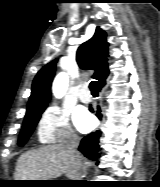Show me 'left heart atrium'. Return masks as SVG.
Listing matches in <instances>:
<instances>
[{
  "label": "left heart atrium",
  "mask_w": 160,
  "mask_h": 187,
  "mask_svg": "<svg viewBox=\"0 0 160 187\" xmlns=\"http://www.w3.org/2000/svg\"><path fill=\"white\" fill-rule=\"evenodd\" d=\"M74 122L81 132H89L94 127L93 117L85 110H80L74 115Z\"/></svg>",
  "instance_id": "39dd6f15"
}]
</instances>
